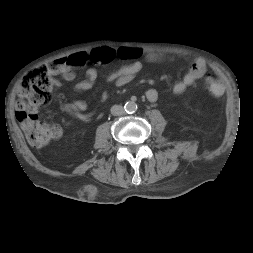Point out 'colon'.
<instances>
[{"mask_svg": "<svg viewBox=\"0 0 253 253\" xmlns=\"http://www.w3.org/2000/svg\"><path fill=\"white\" fill-rule=\"evenodd\" d=\"M67 69V60L59 59L50 66L40 65L33 68L19 82L17 89L19 100L15 115L28 142L34 147L45 146L61 136L60 125L41 121L37 109L51 95L52 76L63 74ZM205 86L215 97L224 93L223 83L210 76L205 78Z\"/></svg>", "mask_w": 253, "mask_h": 253, "instance_id": "5ec220e1", "label": "colon"}]
</instances>
